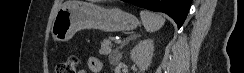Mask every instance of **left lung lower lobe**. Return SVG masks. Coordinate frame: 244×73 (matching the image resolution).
<instances>
[{
    "mask_svg": "<svg viewBox=\"0 0 244 73\" xmlns=\"http://www.w3.org/2000/svg\"><path fill=\"white\" fill-rule=\"evenodd\" d=\"M136 6L156 12H164L172 17L180 28L188 14L192 0H124Z\"/></svg>",
    "mask_w": 244,
    "mask_h": 73,
    "instance_id": "left-lung-lower-lobe-1",
    "label": "left lung lower lobe"
}]
</instances>
